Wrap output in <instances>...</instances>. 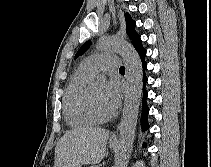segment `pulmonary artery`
I'll return each instance as SVG.
<instances>
[{
  "label": "pulmonary artery",
  "mask_w": 211,
  "mask_h": 167,
  "mask_svg": "<svg viewBox=\"0 0 211 167\" xmlns=\"http://www.w3.org/2000/svg\"><path fill=\"white\" fill-rule=\"evenodd\" d=\"M120 65V59L114 54L102 53L84 59L81 66L93 74L100 71L114 70Z\"/></svg>",
  "instance_id": "pulmonary-artery-1"
}]
</instances>
